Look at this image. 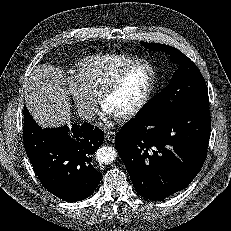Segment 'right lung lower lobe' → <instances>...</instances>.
I'll list each match as a JSON object with an SVG mask.
<instances>
[{
  "label": "right lung lower lobe",
  "instance_id": "98d812e1",
  "mask_svg": "<svg viewBox=\"0 0 231 231\" xmlns=\"http://www.w3.org/2000/svg\"><path fill=\"white\" fill-rule=\"evenodd\" d=\"M23 141L42 185L70 202L83 200L97 188L101 173L91 164L104 133L89 123L42 129L24 107Z\"/></svg>",
  "mask_w": 231,
  "mask_h": 231
}]
</instances>
